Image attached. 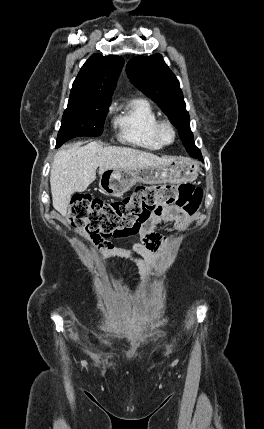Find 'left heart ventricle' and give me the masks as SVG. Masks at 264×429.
I'll return each instance as SVG.
<instances>
[{
	"instance_id": "b2bd125f",
	"label": "left heart ventricle",
	"mask_w": 264,
	"mask_h": 429,
	"mask_svg": "<svg viewBox=\"0 0 264 429\" xmlns=\"http://www.w3.org/2000/svg\"><path fill=\"white\" fill-rule=\"evenodd\" d=\"M164 136H165L166 139H170V137H171L170 132L168 130H166L164 132Z\"/></svg>"
}]
</instances>
